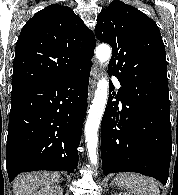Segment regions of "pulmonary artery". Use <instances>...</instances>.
<instances>
[{"label": "pulmonary artery", "instance_id": "e3ab8cb5", "mask_svg": "<svg viewBox=\"0 0 178 195\" xmlns=\"http://www.w3.org/2000/svg\"><path fill=\"white\" fill-rule=\"evenodd\" d=\"M114 83H115V85H116L117 88L120 87L118 80L115 79V80H114Z\"/></svg>", "mask_w": 178, "mask_h": 195}]
</instances>
